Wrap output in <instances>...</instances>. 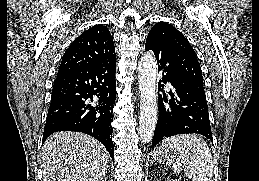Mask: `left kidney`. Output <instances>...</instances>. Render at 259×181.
<instances>
[{
	"label": "left kidney",
	"mask_w": 259,
	"mask_h": 181,
	"mask_svg": "<svg viewBox=\"0 0 259 181\" xmlns=\"http://www.w3.org/2000/svg\"><path fill=\"white\" fill-rule=\"evenodd\" d=\"M171 181H179V180H171Z\"/></svg>",
	"instance_id": "5707ae66"
}]
</instances>
